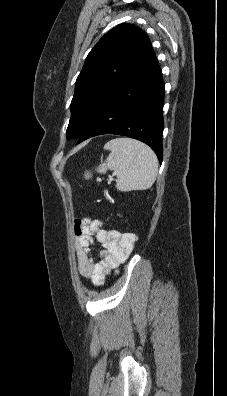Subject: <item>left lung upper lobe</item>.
I'll return each mask as SVG.
<instances>
[{
    "label": "left lung upper lobe",
    "instance_id": "5c2ea615",
    "mask_svg": "<svg viewBox=\"0 0 227 396\" xmlns=\"http://www.w3.org/2000/svg\"><path fill=\"white\" fill-rule=\"evenodd\" d=\"M152 52L147 34L134 24H120L99 40L76 80L68 138L82 135L105 97Z\"/></svg>",
    "mask_w": 227,
    "mask_h": 396
}]
</instances>
